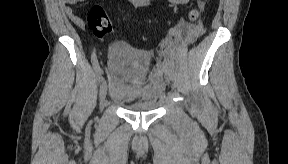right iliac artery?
<instances>
[{
    "instance_id": "right-iliac-artery-1",
    "label": "right iliac artery",
    "mask_w": 288,
    "mask_h": 164,
    "mask_svg": "<svg viewBox=\"0 0 288 164\" xmlns=\"http://www.w3.org/2000/svg\"><path fill=\"white\" fill-rule=\"evenodd\" d=\"M91 61H92L93 68L95 70L96 78H97L98 82H101L102 81V70L99 66L95 50L93 51V53L91 55Z\"/></svg>"
}]
</instances>
